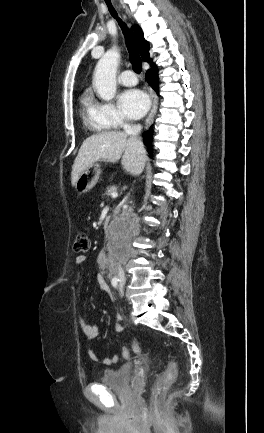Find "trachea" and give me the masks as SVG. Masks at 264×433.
<instances>
[{
  "label": "trachea",
  "mask_w": 264,
  "mask_h": 433,
  "mask_svg": "<svg viewBox=\"0 0 264 433\" xmlns=\"http://www.w3.org/2000/svg\"><path fill=\"white\" fill-rule=\"evenodd\" d=\"M109 12L111 15L118 21L119 26L122 29V32L125 37L126 46L130 55V59L132 61V66L135 72L140 73L142 71V61L138 54L135 39L133 37L132 32L130 29L127 28L125 23L118 17L117 12L115 11L114 7L112 6L110 0H105Z\"/></svg>",
  "instance_id": "trachea-1"
}]
</instances>
